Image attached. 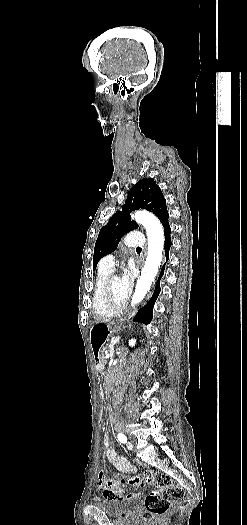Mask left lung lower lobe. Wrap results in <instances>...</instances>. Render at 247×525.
Segmentation results:
<instances>
[{
  "mask_svg": "<svg viewBox=\"0 0 247 525\" xmlns=\"http://www.w3.org/2000/svg\"><path fill=\"white\" fill-rule=\"evenodd\" d=\"M163 227H164V235H165V256H166V261H168V258H169V249L171 247V238H170V233H171V229H170V225H169V222H168V216L161 222ZM164 268H165V264L163 265L162 269H161V272H160V275H159V278H158V281L156 283V286H155V290H154V293L151 297V299L148 301V303L139 310L138 314L135 316L134 318V321H137V322H141V323H145V324H149L151 319H152V310H153V306H154V303L160 293V279L162 277V275L164 274Z\"/></svg>",
  "mask_w": 247,
  "mask_h": 525,
  "instance_id": "obj_1",
  "label": "left lung lower lobe"
}]
</instances>
